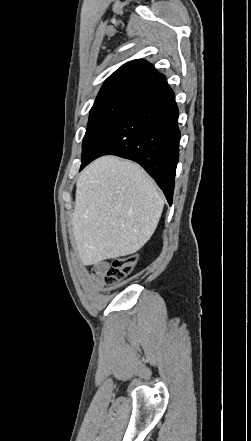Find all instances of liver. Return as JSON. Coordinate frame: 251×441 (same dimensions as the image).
<instances>
[{"instance_id":"liver-1","label":"liver","mask_w":251,"mask_h":441,"mask_svg":"<svg viewBox=\"0 0 251 441\" xmlns=\"http://www.w3.org/2000/svg\"><path fill=\"white\" fill-rule=\"evenodd\" d=\"M164 199L136 163L103 156L76 183L72 227L80 260L95 265L140 250L155 232Z\"/></svg>"}]
</instances>
